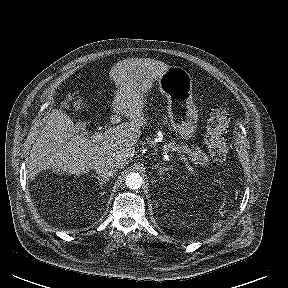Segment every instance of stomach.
Segmentation results:
<instances>
[{
	"mask_svg": "<svg viewBox=\"0 0 288 288\" xmlns=\"http://www.w3.org/2000/svg\"><path fill=\"white\" fill-rule=\"evenodd\" d=\"M160 92L168 100V116L173 129L188 140L196 131L198 110L192 97V80L180 67H169L157 80ZM153 84L149 86L148 91Z\"/></svg>",
	"mask_w": 288,
	"mask_h": 288,
	"instance_id": "0dacf381",
	"label": "stomach"
}]
</instances>
